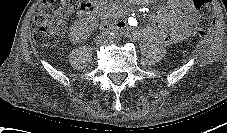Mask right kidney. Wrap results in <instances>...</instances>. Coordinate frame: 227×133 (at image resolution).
Listing matches in <instances>:
<instances>
[{
	"instance_id": "obj_1",
	"label": "right kidney",
	"mask_w": 227,
	"mask_h": 133,
	"mask_svg": "<svg viewBox=\"0 0 227 133\" xmlns=\"http://www.w3.org/2000/svg\"><path fill=\"white\" fill-rule=\"evenodd\" d=\"M80 34V31H79V27L74 25L72 28H71V32H70V35L72 37H78V35Z\"/></svg>"
}]
</instances>
